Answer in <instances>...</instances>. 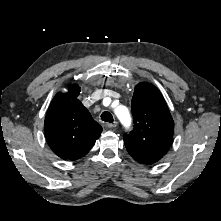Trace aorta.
Returning a JSON list of instances; mask_svg holds the SVG:
<instances>
[{
  "instance_id": "1",
  "label": "aorta",
  "mask_w": 221,
  "mask_h": 221,
  "mask_svg": "<svg viewBox=\"0 0 221 221\" xmlns=\"http://www.w3.org/2000/svg\"><path fill=\"white\" fill-rule=\"evenodd\" d=\"M115 114L124 127H129L131 125V116L125 107L120 106L116 108Z\"/></svg>"
}]
</instances>
